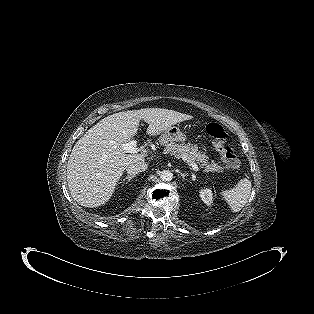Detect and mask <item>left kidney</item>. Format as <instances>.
<instances>
[{"label": "left kidney", "instance_id": "1", "mask_svg": "<svg viewBox=\"0 0 314 314\" xmlns=\"http://www.w3.org/2000/svg\"><path fill=\"white\" fill-rule=\"evenodd\" d=\"M199 193H200V197H201L202 201L207 206H211L213 203V194H212L211 189H209V188L201 189Z\"/></svg>", "mask_w": 314, "mask_h": 314}]
</instances>
